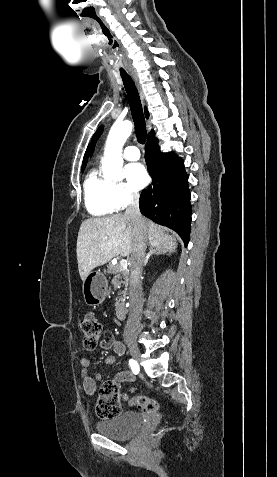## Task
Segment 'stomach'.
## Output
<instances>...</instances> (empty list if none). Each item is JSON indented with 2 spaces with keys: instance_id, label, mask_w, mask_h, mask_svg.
<instances>
[{
  "instance_id": "obj_1",
  "label": "stomach",
  "mask_w": 277,
  "mask_h": 477,
  "mask_svg": "<svg viewBox=\"0 0 277 477\" xmlns=\"http://www.w3.org/2000/svg\"><path fill=\"white\" fill-rule=\"evenodd\" d=\"M108 281L101 272H90L83 280L84 302L92 307L100 305L107 294Z\"/></svg>"
}]
</instances>
